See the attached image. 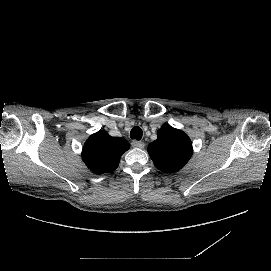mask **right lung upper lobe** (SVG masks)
Listing matches in <instances>:
<instances>
[{"label":"right lung upper lobe","mask_w":271,"mask_h":271,"mask_svg":"<svg viewBox=\"0 0 271 271\" xmlns=\"http://www.w3.org/2000/svg\"><path fill=\"white\" fill-rule=\"evenodd\" d=\"M130 148L124 138L112 137L105 131L92 134L86 141L82 159L94 173L103 174L114 171L122 154Z\"/></svg>","instance_id":"cb5924a9"}]
</instances>
